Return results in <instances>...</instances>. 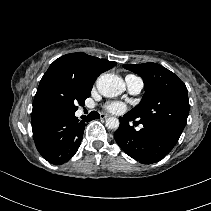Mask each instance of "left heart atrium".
<instances>
[{
	"instance_id": "1",
	"label": "left heart atrium",
	"mask_w": 211,
	"mask_h": 211,
	"mask_svg": "<svg viewBox=\"0 0 211 211\" xmlns=\"http://www.w3.org/2000/svg\"><path fill=\"white\" fill-rule=\"evenodd\" d=\"M105 108L112 113H121L125 110V105L120 102H111L106 104Z\"/></svg>"
}]
</instances>
